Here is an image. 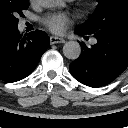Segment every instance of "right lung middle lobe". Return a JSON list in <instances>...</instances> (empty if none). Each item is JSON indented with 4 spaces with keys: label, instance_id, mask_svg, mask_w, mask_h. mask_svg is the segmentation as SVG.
Wrapping results in <instances>:
<instances>
[{
    "label": "right lung middle lobe",
    "instance_id": "1",
    "mask_svg": "<svg viewBox=\"0 0 128 128\" xmlns=\"http://www.w3.org/2000/svg\"><path fill=\"white\" fill-rule=\"evenodd\" d=\"M29 7V0H0V31L16 29L17 16Z\"/></svg>",
    "mask_w": 128,
    "mask_h": 128
}]
</instances>
